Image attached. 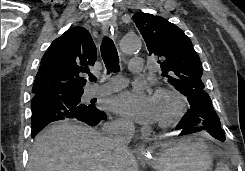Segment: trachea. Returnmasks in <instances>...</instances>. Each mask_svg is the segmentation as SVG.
<instances>
[{
    "instance_id": "3493384b",
    "label": "trachea",
    "mask_w": 245,
    "mask_h": 171,
    "mask_svg": "<svg viewBox=\"0 0 245 171\" xmlns=\"http://www.w3.org/2000/svg\"><path fill=\"white\" fill-rule=\"evenodd\" d=\"M101 54L108 74L111 72H118L120 70L117 49L114 42L108 37H105L102 41ZM89 80L96 81V77L94 75H90Z\"/></svg>"
}]
</instances>
